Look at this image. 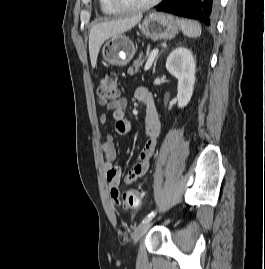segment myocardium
Returning a JSON list of instances; mask_svg holds the SVG:
<instances>
[{"label":"myocardium","instance_id":"obj_1","mask_svg":"<svg viewBox=\"0 0 265 269\" xmlns=\"http://www.w3.org/2000/svg\"><path fill=\"white\" fill-rule=\"evenodd\" d=\"M112 5L120 12H138L144 11L154 7L161 0H149L143 4L139 5H126L122 3L120 0H110Z\"/></svg>","mask_w":265,"mask_h":269}]
</instances>
